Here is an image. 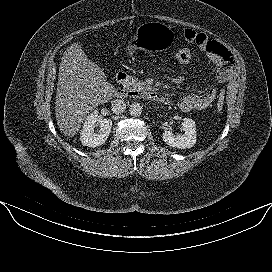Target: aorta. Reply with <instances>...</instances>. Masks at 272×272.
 <instances>
[{
  "label": "aorta",
  "instance_id": "obj_1",
  "mask_svg": "<svg viewBox=\"0 0 272 272\" xmlns=\"http://www.w3.org/2000/svg\"><path fill=\"white\" fill-rule=\"evenodd\" d=\"M129 112L132 116H139L142 113V106L139 103H132L129 108Z\"/></svg>",
  "mask_w": 272,
  "mask_h": 272
}]
</instances>
